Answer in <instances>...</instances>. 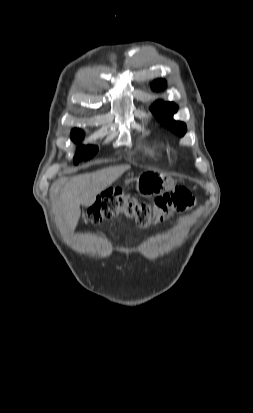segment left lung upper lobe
<instances>
[{
	"mask_svg": "<svg viewBox=\"0 0 253 413\" xmlns=\"http://www.w3.org/2000/svg\"><path fill=\"white\" fill-rule=\"evenodd\" d=\"M166 86L165 81L156 80L152 83L154 90L164 89ZM178 107L173 102L157 101L151 107L152 113L157 120L170 131L176 133L179 136H183L186 132V125L180 121H174L172 115L177 111Z\"/></svg>",
	"mask_w": 253,
	"mask_h": 413,
	"instance_id": "left-lung-upper-lobe-1",
	"label": "left lung upper lobe"
}]
</instances>
